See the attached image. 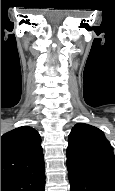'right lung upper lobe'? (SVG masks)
<instances>
[{
  "instance_id": "1",
  "label": "right lung upper lobe",
  "mask_w": 115,
  "mask_h": 191,
  "mask_svg": "<svg viewBox=\"0 0 115 191\" xmlns=\"http://www.w3.org/2000/svg\"><path fill=\"white\" fill-rule=\"evenodd\" d=\"M45 170L41 137L22 126L1 136V179L22 178Z\"/></svg>"
}]
</instances>
